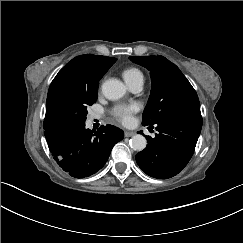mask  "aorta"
Listing matches in <instances>:
<instances>
[{"label":"aorta","mask_w":243,"mask_h":243,"mask_svg":"<svg viewBox=\"0 0 243 243\" xmlns=\"http://www.w3.org/2000/svg\"><path fill=\"white\" fill-rule=\"evenodd\" d=\"M102 93L105 98L113 101L125 95L126 87L120 80L109 79L102 84ZM129 144L133 150L142 151L146 148L147 141L143 135L136 134L130 139Z\"/></svg>","instance_id":"obj_1"}]
</instances>
